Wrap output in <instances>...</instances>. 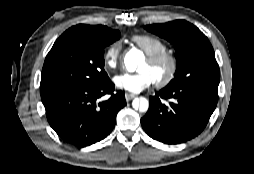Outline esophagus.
<instances>
[{
  "instance_id": "esophagus-1",
  "label": "esophagus",
  "mask_w": 254,
  "mask_h": 174,
  "mask_svg": "<svg viewBox=\"0 0 254 174\" xmlns=\"http://www.w3.org/2000/svg\"><path fill=\"white\" fill-rule=\"evenodd\" d=\"M135 97H136L135 94H131V93H126V94H125V99H126V101H130V100H132V99L135 98Z\"/></svg>"
}]
</instances>
